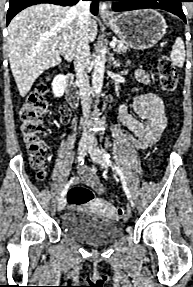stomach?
I'll return each mask as SVG.
<instances>
[{
	"label": "stomach",
	"instance_id": "stomach-1",
	"mask_svg": "<svg viewBox=\"0 0 193 287\" xmlns=\"http://www.w3.org/2000/svg\"><path fill=\"white\" fill-rule=\"evenodd\" d=\"M121 40L138 50L157 44L166 32V22L160 13L152 9L125 12L106 21Z\"/></svg>",
	"mask_w": 193,
	"mask_h": 287
}]
</instances>
